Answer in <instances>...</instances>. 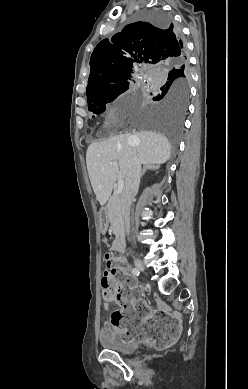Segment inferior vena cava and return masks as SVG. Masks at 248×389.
<instances>
[{
  "mask_svg": "<svg viewBox=\"0 0 248 389\" xmlns=\"http://www.w3.org/2000/svg\"><path fill=\"white\" fill-rule=\"evenodd\" d=\"M141 177V162L136 155L131 159L129 171L125 179V187L120 199V211L125 223L127 235L130 234V207L134 196L137 194Z\"/></svg>",
  "mask_w": 248,
  "mask_h": 389,
  "instance_id": "obj_1",
  "label": "inferior vena cava"
}]
</instances>
